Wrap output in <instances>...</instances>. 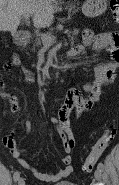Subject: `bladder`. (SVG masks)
<instances>
[{
	"label": "bladder",
	"mask_w": 119,
	"mask_h": 185,
	"mask_svg": "<svg viewBox=\"0 0 119 185\" xmlns=\"http://www.w3.org/2000/svg\"><path fill=\"white\" fill-rule=\"evenodd\" d=\"M54 185H77V184L71 181H60V182L55 183Z\"/></svg>",
	"instance_id": "bladder-1"
}]
</instances>
